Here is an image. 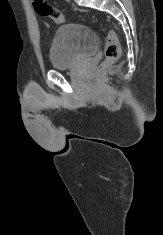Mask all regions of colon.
Segmentation results:
<instances>
[{
	"instance_id": "colon-1",
	"label": "colon",
	"mask_w": 163,
	"mask_h": 235,
	"mask_svg": "<svg viewBox=\"0 0 163 235\" xmlns=\"http://www.w3.org/2000/svg\"><path fill=\"white\" fill-rule=\"evenodd\" d=\"M33 5L36 11L45 17H49L56 23H63L65 21L64 14L55 7L48 4L45 0H33ZM120 57V43L117 34L110 30L106 35V47L102 67L116 62Z\"/></svg>"
}]
</instances>
